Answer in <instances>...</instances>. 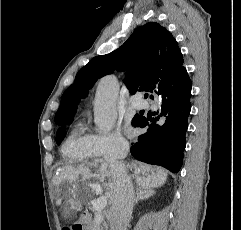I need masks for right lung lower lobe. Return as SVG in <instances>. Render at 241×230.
Returning a JSON list of instances; mask_svg holds the SVG:
<instances>
[{
	"label": "right lung lower lobe",
	"mask_w": 241,
	"mask_h": 230,
	"mask_svg": "<svg viewBox=\"0 0 241 230\" xmlns=\"http://www.w3.org/2000/svg\"><path fill=\"white\" fill-rule=\"evenodd\" d=\"M191 88L192 82L183 65L159 82L150 98L159 97L160 114L157 118L139 116L133 123L146 129L131 147L136 159L163 166L174 173L180 170L191 110ZM160 117L161 121L157 122Z\"/></svg>",
	"instance_id": "right-lung-lower-lobe-1"
}]
</instances>
